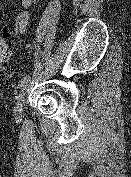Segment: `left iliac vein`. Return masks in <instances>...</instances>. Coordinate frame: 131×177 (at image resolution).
<instances>
[{"label":"left iliac vein","instance_id":"1","mask_svg":"<svg viewBox=\"0 0 131 177\" xmlns=\"http://www.w3.org/2000/svg\"><path fill=\"white\" fill-rule=\"evenodd\" d=\"M27 89H28V85L26 84L22 87V90L20 91V93L17 97V101L15 103V108H14V115L16 118H19L22 116L23 105H24V100L26 97Z\"/></svg>","mask_w":131,"mask_h":177}]
</instances>
